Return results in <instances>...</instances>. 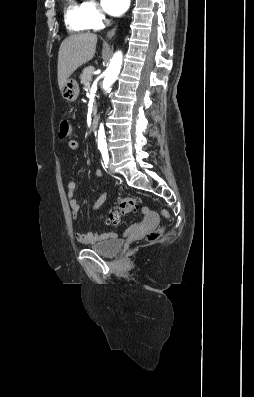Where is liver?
<instances>
[{
	"label": "liver",
	"instance_id": "obj_1",
	"mask_svg": "<svg viewBox=\"0 0 254 397\" xmlns=\"http://www.w3.org/2000/svg\"><path fill=\"white\" fill-rule=\"evenodd\" d=\"M97 35H71L60 45L58 52V85L60 91L73 72L90 61L96 51Z\"/></svg>",
	"mask_w": 254,
	"mask_h": 397
}]
</instances>
